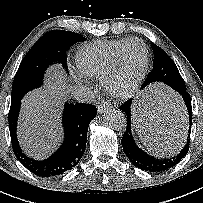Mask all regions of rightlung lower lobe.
Masks as SVG:
<instances>
[{
    "label": "right lung lower lobe",
    "mask_w": 203,
    "mask_h": 203,
    "mask_svg": "<svg viewBox=\"0 0 203 203\" xmlns=\"http://www.w3.org/2000/svg\"><path fill=\"white\" fill-rule=\"evenodd\" d=\"M20 105L21 101L13 103L8 115L12 148L18 160L40 177L58 176L75 167L85 151L88 126L97 114L96 107L85 103H67L62 117L64 142L49 158L38 161L26 156L19 146L16 127Z\"/></svg>",
    "instance_id": "right-lung-lower-lobe-1"
}]
</instances>
